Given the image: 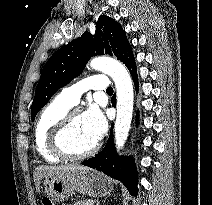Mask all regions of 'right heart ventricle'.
Masks as SVG:
<instances>
[{
	"label": "right heart ventricle",
	"mask_w": 212,
	"mask_h": 205,
	"mask_svg": "<svg viewBox=\"0 0 212 205\" xmlns=\"http://www.w3.org/2000/svg\"><path fill=\"white\" fill-rule=\"evenodd\" d=\"M69 109V105L56 97L41 111L37 119L34 129V144L39 155L47 162L56 163L61 160L50 149L49 135L53 126Z\"/></svg>",
	"instance_id": "obj_1"
}]
</instances>
